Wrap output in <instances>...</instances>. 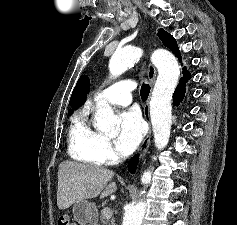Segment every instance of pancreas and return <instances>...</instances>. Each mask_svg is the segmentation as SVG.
I'll return each mask as SVG.
<instances>
[{
    "mask_svg": "<svg viewBox=\"0 0 237 225\" xmlns=\"http://www.w3.org/2000/svg\"><path fill=\"white\" fill-rule=\"evenodd\" d=\"M100 223H101V225H115L114 220L111 218L104 217L103 212L100 215Z\"/></svg>",
    "mask_w": 237,
    "mask_h": 225,
    "instance_id": "obj_1",
    "label": "pancreas"
}]
</instances>
